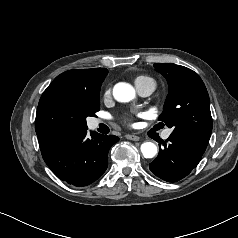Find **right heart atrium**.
I'll list each match as a JSON object with an SVG mask.
<instances>
[{"label":"right heart atrium","instance_id":"1","mask_svg":"<svg viewBox=\"0 0 238 238\" xmlns=\"http://www.w3.org/2000/svg\"><path fill=\"white\" fill-rule=\"evenodd\" d=\"M111 92H112V87L111 85H108L104 90L103 97L105 99H108L111 96Z\"/></svg>","mask_w":238,"mask_h":238}]
</instances>
